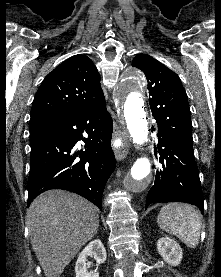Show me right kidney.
<instances>
[{
    "label": "right kidney",
    "instance_id": "ca27d5eb",
    "mask_svg": "<svg viewBox=\"0 0 221 277\" xmlns=\"http://www.w3.org/2000/svg\"><path fill=\"white\" fill-rule=\"evenodd\" d=\"M88 256L94 257L97 267L105 262L107 256L106 250L99 239L91 241L79 254L75 265L76 277H99L97 269L92 272L87 270L86 260Z\"/></svg>",
    "mask_w": 221,
    "mask_h": 277
}]
</instances>
